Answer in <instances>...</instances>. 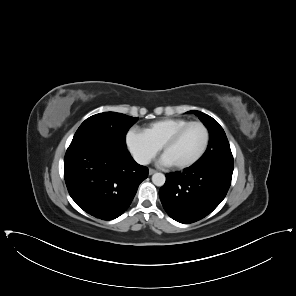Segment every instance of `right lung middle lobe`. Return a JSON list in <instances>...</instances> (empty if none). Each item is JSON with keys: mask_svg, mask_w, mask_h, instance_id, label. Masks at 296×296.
<instances>
[{"mask_svg": "<svg viewBox=\"0 0 296 296\" xmlns=\"http://www.w3.org/2000/svg\"><path fill=\"white\" fill-rule=\"evenodd\" d=\"M137 118L121 113L104 112L86 119L76 131L72 143L101 141L120 148H127L125 136Z\"/></svg>", "mask_w": 296, "mask_h": 296, "instance_id": "right-lung-middle-lobe-1", "label": "right lung middle lobe"}]
</instances>
